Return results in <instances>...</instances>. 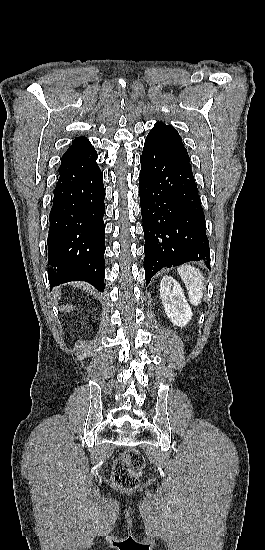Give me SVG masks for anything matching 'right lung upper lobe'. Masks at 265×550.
I'll use <instances>...</instances> for the list:
<instances>
[{
    "label": "right lung upper lobe",
    "mask_w": 265,
    "mask_h": 550,
    "mask_svg": "<svg viewBox=\"0 0 265 550\" xmlns=\"http://www.w3.org/2000/svg\"><path fill=\"white\" fill-rule=\"evenodd\" d=\"M91 148H93V146L90 144L89 140L86 137H77L75 138V141H73L72 145L68 148V150L64 153V156L86 151Z\"/></svg>",
    "instance_id": "obj_1"
}]
</instances>
